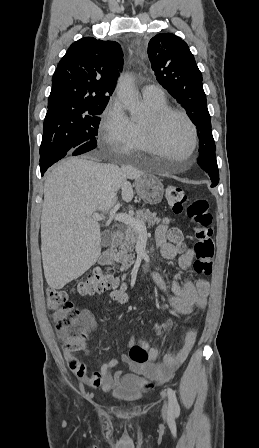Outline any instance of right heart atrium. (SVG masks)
I'll list each match as a JSON object with an SVG mask.
<instances>
[{
	"label": "right heart atrium",
	"mask_w": 259,
	"mask_h": 448,
	"mask_svg": "<svg viewBox=\"0 0 259 448\" xmlns=\"http://www.w3.org/2000/svg\"><path fill=\"white\" fill-rule=\"evenodd\" d=\"M98 143L103 151L112 152L113 157L128 158L133 152V129L117 97L109 102L100 121Z\"/></svg>",
	"instance_id": "1"
}]
</instances>
